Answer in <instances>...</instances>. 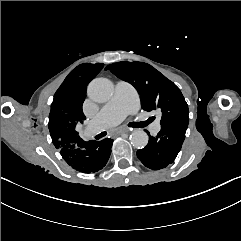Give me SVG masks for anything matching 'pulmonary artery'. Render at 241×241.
Here are the masks:
<instances>
[{
  "mask_svg": "<svg viewBox=\"0 0 241 241\" xmlns=\"http://www.w3.org/2000/svg\"><path fill=\"white\" fill-rule=\"evenodd\" d=\"M138 103V98L133 94L130 84L119 82L116 85L115 95L112 100L102 108L96 117L87 124V129L92 134H97L113 125L123 121ZM145 129L148 132H157L161 126L155 119H148L145 122Z\"/></svg>",
  "mask_w": 241,
  "mask_h": 241,
  "instance_id": "e3ab8cb5",
  "label": "pulmonary artery"
}]
</instances>
